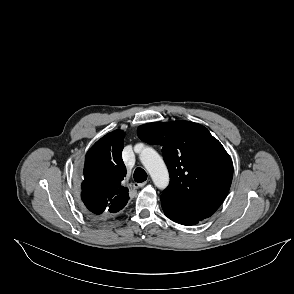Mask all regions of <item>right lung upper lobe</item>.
<instances>
[{
    "label": "right lung upper lobe",
    "instance_id": "obj_1",
    "mask_svg": "<svg viewBox=\"0 0 294 294\" xmlns=\"http://www.w3.org/2000/svg\"><path fill=\"white\" fill-rule=\"evenodd\" d=\"M124 132L115 130L97 141L87 152L81 198L95 216L109 217L128 202L122 186L126 167L122 160Z\"/></svg>",
    "mask_w": 294,
    "mask_h": 294
}]
</instances>
